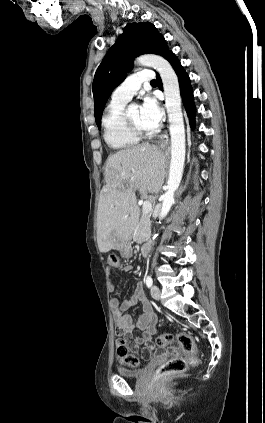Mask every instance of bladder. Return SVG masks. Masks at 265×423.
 I'll return each mask as SVG.
<instances>
[{
    "mask_svg": "<svg viewBox=\"0 0 265 423\" xmlns=\"http://www.w3.org/2000/svg\"><path fill=\"white\" fill-rule=\"evenodd\" d=\"M145 371H146V367H142L138 369H128V368L119 367L117 369V372L119 375L123 377H130V378L142 377Z\"/></svg>",
    "mask_w": 265,
    "mask_h": 423,
    "instance_id": "obj_1",
    "label": "bladder"
}]
</instances>
